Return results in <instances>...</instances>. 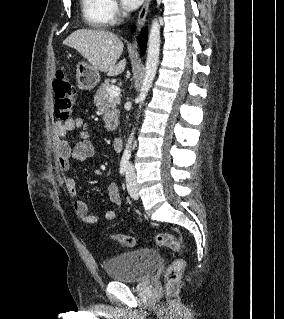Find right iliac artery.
<instances>
[{
  "mask_svg": "<svg viewBox=\"0 0 284 319\" xmlns=\"http://www.w3.org/2000/svg\"><path fill=\"white\" fill-rule=\"evenodd\" d=\"M128 168V160L122 159L120 162V174L124 175Z\"/></svg>",
  "mask_w": 284,
  "mask_h": 319,
  "instance_id": "right-iliac-artery-1",
  "label": "right iliac artery"
}]
</instances>
